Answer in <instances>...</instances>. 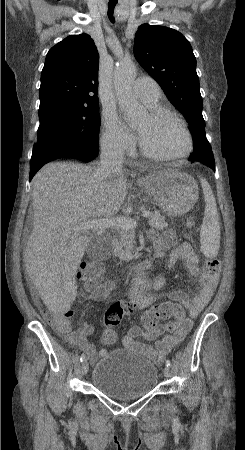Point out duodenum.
I'll use <instances>...</instances> for the list:
<instances>
[{"label": "duodenum", "instance_id": "410a0bca", "mask_svg": "<svg viewBox=\"0 0 245 450\" xmlns=\"http://www.w3.org/2000/svg\"><path fill=\"white\" fill-rule=\"evenodd\" d=\"M109 244L111 246H114L116 244V240L114 238L109 239ZM152 264H153L152 260H147V261H145L143 263H140V264L136 265L133 268V271L136 272V273H141V272L148 271V269L151 268Z\"/></svg>", "mask_w": 245, "mask_h": 450}]
</instances>
